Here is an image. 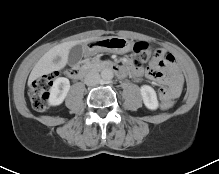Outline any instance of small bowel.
I'll use <instances>...</instances> for the list:
<instances>
[{"mask_svg":"<svg viewBox=\"0 0 219 174\" xmlns=\"http://www.w3.org/2000/svg\"><path fill=\"white\" fill-rule=\"evenodd\" d=\"M131 74L135 78H139L143 74L141 68L132 66L130 68ZM168 73V76L165 75ZM146 76L159 83L168 85L169 89L165 87H158L156 89V96L163 101H174L180 94L183 76L179 66L175 62L174 56L165 49H157L154 59L150 67L146 70Z\"/></svg>","mask_w":219,"mask_h":174,"instance_id":"small-bowel-1","label":"small bowel"}]
</instances>
